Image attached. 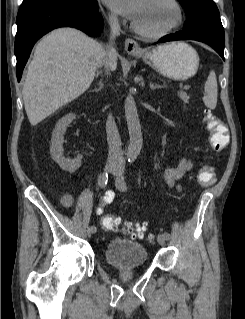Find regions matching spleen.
<instances>
[{"label":"spleen","mask_w":245,"mask_h":319,"mask_svg":"<svg viewBox=\"0 0 245 319\" xmlns=\"http://www.w3.org/2000/svg\"><path fill=\"white\" fill-rule=\"evenodd\" d=\"M205 95L203 102L209 109H215L217 104V79L213 70L210 71L204 85Z\"/></svg>","instance_id":"3e777b00"}]
</instances>
